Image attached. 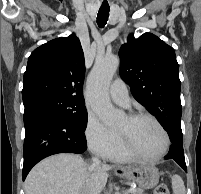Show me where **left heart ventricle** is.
<instances>
[{
  "instance_id": "b2bd125f",
  "label": "left heart ventricle",
  "mask_w": 201,
  "mask_h": 194,
  "mask_svg": "<svg viewBox=\"0 0 201 194\" xmlns=\"http://www.w3.org/2000/svg\"><path fill=\"white\" fill-rule=\"evenodd\" d=\"M130 140L132 146L145 155H156L164 147L165 140L157 125L149 119L130 120L125 117L118 127Z\"/></svg>"
}]
</instances>
